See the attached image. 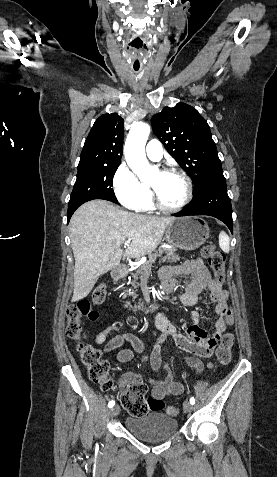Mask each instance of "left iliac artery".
Masks as SVG:
<instances>
[{"label":"left iliac artery","instance_id":"obj_1","mask_svg":"<svg viewBox=\"0 0 277 477\" xmlns=\"http://www.w3.org/2000/svg\"><path fill=\"white\" fill-rule=\"evenodd\" d=\"M190 403L193 405L195 403V399L193 397L190 398Z\"/></svg>","mask_w":277,"mask_h":477}]
</instances>
